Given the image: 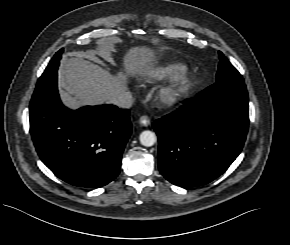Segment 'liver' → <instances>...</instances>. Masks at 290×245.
<instances>
[{
  "label": "liver",
  "mask_w": 290,
  "mask_h": 245,
  "mask_svg": "<svg viewBox=\"0 0 290 245\" xmlns=\"http://www.w3.org/2000/svg\"><path fill=\"white\" fill-rule=\"evenodd\" d=\"M154 59L149 49L133 47L123 59L125 72L116 76L81 57L64 59L58 72L62 101L73 109L109 103L112 97L128 90L130 76L150 75Z\"/></svg>",
  "instance_id": "liver-1"
}]
</instances>
